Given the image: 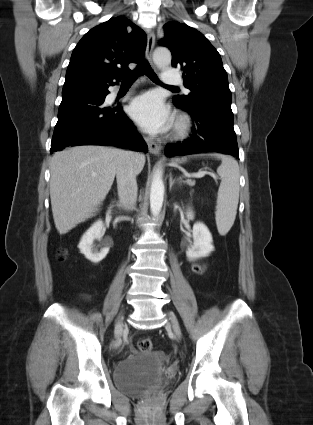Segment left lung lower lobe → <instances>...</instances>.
I'll return each mask as SVG.
<instances>
[{
	"instance_id": "0a47b994",
	"label": "left lung lower lobe",
	"mask_w": 313,
	"mask_h": 425,
	"mask_svg": "<svg viewBox=\"0 0 313 425\" xmlns=\"http://www.w3.org/2000/svg\"><path fill=\"white\" fill-rule=\"evenodd\" d=\"M175 105L191 115L192 135L183 143L168 144L165 148L167 156L216 152L239 157L231 105L212 102L191 107Z\"/></svg>"
}]
</instances>
